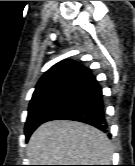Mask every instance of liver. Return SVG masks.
Returning a JSON list of instances; mask_svg holds the SVG:
<instances>
[{"instance_id": "obj_1", "label": "liver", "mask_w": 135, "mask_h": 166, "mask_svg": "<svg viewBox=\"0 0 135 166\" xmlns=\"http://www.w3.org/2000/svg\"><path fill=\"white\" fill-rule=\"evenodd\" d=\"M112 154L106 134L90 125L66 120L39 126L27 147L32 165H109Z\"/></svg>"}]
</instances>
